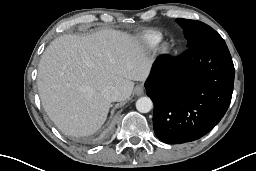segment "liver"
<instances>
[{"label":"liver","instance_id":"liver-1","mask_svg":"<svg viewBox=\"0 0 256 171\" xmlns=\"http://www.w3.org/2000/svg\"><path fill=\"white\" fill-rule=\"evenodd\" d=\"M151 60L139 41L116 30L92 35H63L46 48L38 64L37 85L49 118L66 135L96 133L106 121L111 102L106 86L130 97L134 82L144 81Z\"/></svg>","mask_w":256,"mask_h":171}]
</instances>
